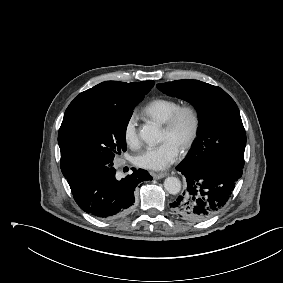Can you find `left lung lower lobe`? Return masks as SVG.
Wrapping results in <instances>:
<instances>
[{"label": "left lung lower lobe", "instance_id": "left-lung-lower-lobe-1", "mask_svg": "<svg viewBox=\"0 0 283 283\" xmlns=\"http://www.w3.org/2000/svg\"><path fill=\"white\" fill-rule=\"evenodd\" d=\"M177 170L186 178L187 189L170 203L180 218L199 222L215 215L227 202L242 169L227 164H212L191 169L179 164Z\"/></svg>", "mask_w": 283, "mask_h": 283}]
</instances>
